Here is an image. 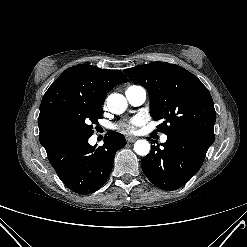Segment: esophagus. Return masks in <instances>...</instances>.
<instances>
[{"label": "esophagus", "mask_w": 247, "mask_h": 247, "mask_svg": "<svg viewBox=\"0 0 247 247\" xmlns=\"http://www.w3.org/2000/svg\"><path fill=\"white\" fill-rule=\"evenodd\" d=\"M136 140H137L136 137H128V138H127V142H128V143H133V142H135Z\"/></svg>", "instance_id": "esophagus-1"}]
</instances>
